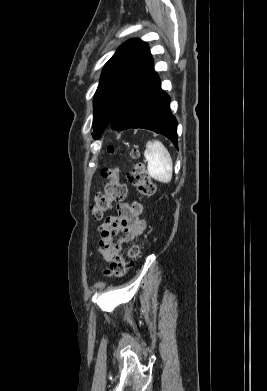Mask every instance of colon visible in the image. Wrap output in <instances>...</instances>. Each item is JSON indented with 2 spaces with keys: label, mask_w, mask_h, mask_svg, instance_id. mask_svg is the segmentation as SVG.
Returning <instances> with one entry per match:
<instances>
[{
  "label": "colon",
  "mask_w": 267,
  "mask_h": 391,
  "mask_svg": "<svg viewBox=\"0 0 267 391\" xmlns=\"http://www.w3.org/2000/svg\"><path fill=\"white\" fill-rule=\"evenodd\" d=\"M108 152H114V147L109 146ZM131 155L138 157V151L132 149ZM101 176L105 180L103 190L96 194L94 203L91 206V215L94 220H101L105 213L108 212L112 203L121 201L126 197L127 189L119 181V169L117 167H104L101 170ZM128 181L136 187L138 192L143 196H151L155 192V185L146 171L144 164L138 162L127 174ZM141 246L132 245L126 252V257L135 259L140 253ZM130 266L122 255H117L105 269L104 273L108 277H122Z\"/></svg>",
  "instance_id": "colon-1"
}]
</instances>
